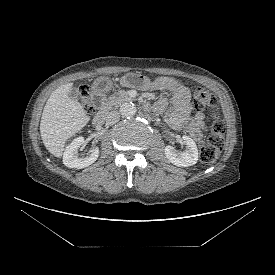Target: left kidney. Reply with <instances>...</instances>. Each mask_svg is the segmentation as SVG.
Instances as JSON below:
<instances>
[{"label":"left kidney","instance_id":"obj_1","mask_svg":"<svg viewBox=\"0 0 275 275\" xmlns=\"http://www.w3.org/2000/svg\"><path fill=\"white\" fill-rule=\"evenodd\" d=\"M186 144L184 151L176 150L173 146L165 147V155L167 159L178 167H188L197 163L198 161V149L197 145L192 138L184 135L182 137Z\"/></svg>","mask_w":275,"mask_h":275}]
</instances>
